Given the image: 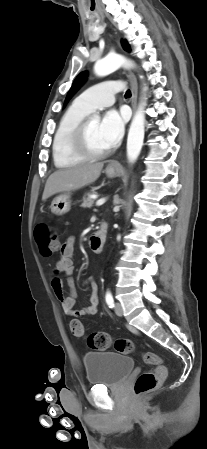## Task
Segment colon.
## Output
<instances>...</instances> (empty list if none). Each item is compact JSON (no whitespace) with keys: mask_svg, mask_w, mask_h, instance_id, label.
Segmentation results:
<instances>
[{"mask_svg":"<svg viewBox=\"0 0 207 449\" xmlns=\"http://www.w3.org/2000/svg\"><path fill=\"white\" fill-rule=\"evenodd\" d=\"M34 237L41 254L45 257L53 255L59 247V238L55 230L47 224H37L34 229ZM70 330L75 337H85V328L78 319L71 320ZM87 344L90 348L98 351H104L113 347L117 353L124 355H130L136 351V347L131 340L124 338L113 340L106 332L89 334ZM141 357L144 363L154 366V370L145 371L136 379L134 392L139 396L155 391L167 374V368L163 360L155 353L144 351L141 353Z\"/></svg>","mask_w":207,"mask_h":449,"instance_id":"5ec220e1","label":"colon"}]
</instances>
